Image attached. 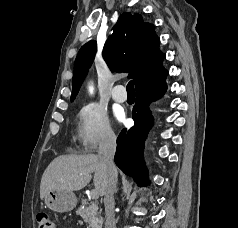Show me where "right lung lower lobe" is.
<instances>
[{"mask_svg": "<svg viewBox=\"0 0 238 228\" xmlns=\"http://www.w3.org/2000/svg\"><path fill=\"white\" fill-rule=\"evenodd\" d=\"M167 74L168 71L162 68L157 75L136 87V104L132 113L135 124L129 130L123 129L117 138L115 163L140 186L149 183L143 159L144 142L153 125L148 106L166 91Z\"/></svg>", "mask_w": 238, "mask_h": 228, "instance_id": "obj_1", "label": "right lung lower lobe"}]
</instances>
